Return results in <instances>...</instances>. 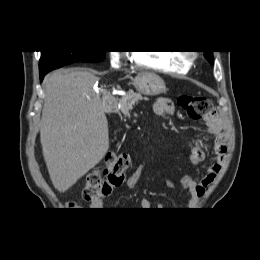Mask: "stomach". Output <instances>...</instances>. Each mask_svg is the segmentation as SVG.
Returning <instances> with one entry per match:
<instances>
[{"label": "stomach", "instance_id": "1", "mask_svg": "<svg viewBox=\"0 0 260 260\" xmlns=\"http://www.w3.org/2000/svg\"><path fill=\"white\" fill-rule=\"evenodd\" d=\"M136 91L143 95L155 96L166 92L164 80L153 73H141L132 82Z\"/></svg>", "mask_w": 260, "mask_h": 260}]
</instances>
